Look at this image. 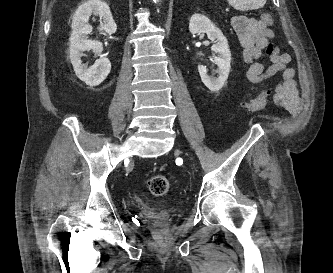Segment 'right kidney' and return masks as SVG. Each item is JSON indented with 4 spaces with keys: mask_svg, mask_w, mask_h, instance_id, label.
Masks as SVG:
<instances>
[{
    "mask_svg": "<svg viewBox=\"0 0 333 273\" xmlns=\"http://www.w3.org/2000/svg\"><path fill=\"white\" fill-rule=\"evenodd\" d=\"M96 15L100 17L99 31L104 34H113L117 30V25L113 20L111 11L107 3L101 0H88L78 7L72 19V33L70 36V60L76 75L89 86L101 84L111 70L110 61L101 53L103 46L101 43L89 40L88 35L93 28L88 23L89 17ZM86 50H92L100 56L94 65L88 67L82 63L81 57Z\"/></svg>",
    "mask_w": 333,
    "mask_h": 273,
    "instance_id": "obj_1",
    "label": "right kidney"
}]
</instances>
